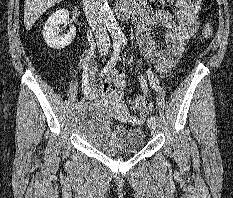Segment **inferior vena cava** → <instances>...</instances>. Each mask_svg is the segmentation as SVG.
<instances>
[{
  "label": "inferior vena cava",
  "instance_id": "1",
  "mask_svg": "<svg viewBox=\"0 0 233 198\" xmlns=\"http://www.w3.org/2000/svg\"><path fill=\"white\" fill-rule=\"evenodd\" d=\"M86 18L95 35L98 49L107 52L110 48V39L103 15L102 0H83Z\"/></svg>",
  "mask_w": 233,
  "mask_h": 198
}]
</instances>
